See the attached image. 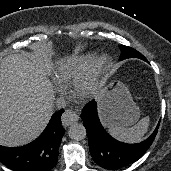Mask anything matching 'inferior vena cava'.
<instances>
[{
	"mask_svg": "<svg viewBox=\"0 0 171 171\" xmlns=\"http://www.w3.org/2000/svg\"><path fill=\"white\" fill-rule=\"evenodd\" d=\"M55 105L58 109H62V108H65L66 102L63 98H58L55 102Z\"/></svg>",
	"mask_w": 171,
	"mask_h": 171,
	"instance_id": "602c4592",
	"label": "inferior vena cava"
}]
</instances>
